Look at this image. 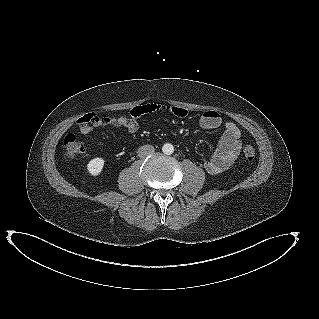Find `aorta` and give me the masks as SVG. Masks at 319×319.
<instances>
[{
    "label": "aorta",
    "mask_w": 319,
    "mask_h": 319,
    "mask_svg": "<svg viewBox=\"0 0 319 319\" xmlns=\"http://www.w3.org/2000/svg\"><path fill=\"white\" fill-rule=\"evenodd\" d=\"M162 151H163V153L166 154V155H171V154H173V152H174V147H173L172 144L166 143V144L163 145Z\"/></svg>",
    "instance_id": "obj_1"
}]
</instances>
